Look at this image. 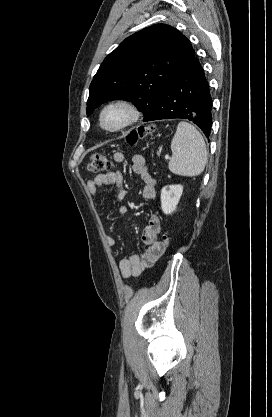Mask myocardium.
Returning <instances> with one entry per match:
<instances>
[{"mask_svg": "<svg viewBox=\"0 0 272 417\" xmlns=\"http://www.w3.org/2000/svg\"><path fill=\"white\" fill-rule=\"evenodd\" d=\"M113 109H121L125 113L123 121L115 127H108L105 124V115ZM141 116V112L137 104L126 97L114 99L107 103L101 110L99 115L100 127L108 133H118L135 124Z\"/></svg>", "mask_w": 272, "mask_h": 417, "instance_id": "myocardium-1", "label": "myocardium"}]
</instances>
